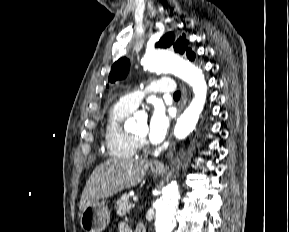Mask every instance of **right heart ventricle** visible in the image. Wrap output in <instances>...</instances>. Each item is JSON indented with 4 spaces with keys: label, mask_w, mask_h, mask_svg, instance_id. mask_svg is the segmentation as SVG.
Here are the masks:
<instances>
[{
    "label": "right heart ventricle",
    "mask_w": 289,
    "mask_h": 232,
    "mask_svg": "<svg viewBox=\"0 0 289 232\" xmlns=\"http://www.w3.org/2000/svg\"><path fill=\"white\" fill-rule=\"evenodd\" d=\"M132 111L120 101L114 103L108 110L104 138L106 149L113 157L133 158L139 152L140 143L123 128L125 118Z\"/></svg>",
    "instance_id": "right-heart-ventricle-1"
}]
</instances>
